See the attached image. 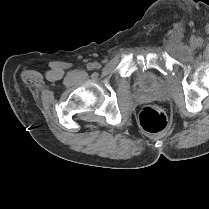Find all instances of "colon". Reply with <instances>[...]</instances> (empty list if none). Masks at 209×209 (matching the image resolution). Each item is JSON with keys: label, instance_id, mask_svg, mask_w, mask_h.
<instances>
[{"label": "colon", "instance_id": "1", "mask_svg": "<svg viewBox=\"0 0 209 209\" xmlns=\"http://www.w3.org/2000/svg\"><path fill=\"white\" fill-rule=\"evenodd\" d=\"M139 121L142 128L149 133H159L168 128L167 112L161 107H146L140 112Z\"/></svg>", "mask_w": 209, "mask_h": 209}]
</instances>
